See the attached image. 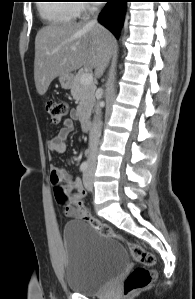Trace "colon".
Returning <instances> with one entry per match:
<instances>
[{
	"instance_id": "5ec220e1",
	"label": "colon",
	"mask_w": 195,
	"mask_h": 299,
	"mask_svg": "<svg viewBox=\"0 0 195 299\" xmlns=\"http://www.w3.org/2000/svg\"><path fill=\"white\" fill-rule=\"evenodd\" d=\"M45 109L53 123H59L65 119L68 114V106L62 101L48 100L45 104ZM52 184L54 188V196L59 205H73L76 208L79 217L100 235L117 239L125 243L134 260L140 264V266L132 270L124 280V294L128 296L149 286L155 278V275L151 270L156 263L155 256L141 245L125 239L123 236L116 233L109 225L92 216L81 200L71 198L65 185H63L59 179H56Z\"/></svg>"
}]
</instances>
